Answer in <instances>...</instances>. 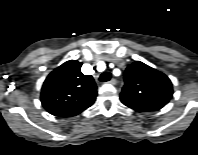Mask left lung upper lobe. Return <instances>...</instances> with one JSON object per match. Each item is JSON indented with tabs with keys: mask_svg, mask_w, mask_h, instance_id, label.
Here are the masks:
<instances>
[{
	"mask_svg": "<svg viewBox=\"0 0 198 155\" xmlns=\"http://www.w3.org/2000/svg\"><path fill=\"white\" fill-rule=\"evenodd\" d=\"M124 79L125 85L120 100L136 111L159 110L172 98L170 79L140 61L127 67Z\"/></svg>",
	"mask_w": 198,
	"mask_h": 155,
	"instance_id": "1",
	"label": "left lung upper lobe"
}]
</instances>
